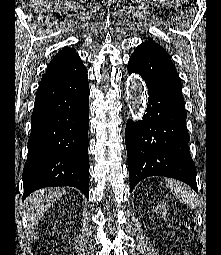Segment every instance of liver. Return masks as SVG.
<instances>
[{"label":"liver","instance_id":"liver-1","mask_svg":"<svg viewBox=\"0 0 221 255\" xmlns=\"http://www.w3.org/2000/svg\"><path fill=\"white\" fill-rule=\"evenodd\" d=\"M65 193L62 188L40 190L28 196L25 202L29 226L34 227L53 203Z\"/></svg>","mask_w":221,"mask_h":255}]
</instances>
